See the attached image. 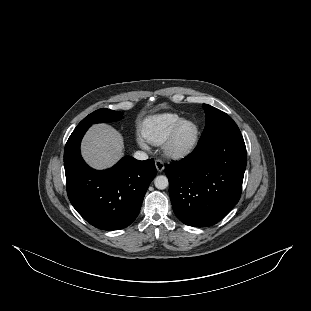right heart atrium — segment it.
<instances>
[{
    "label": "right heart atrium",
    "mask_w": 311,
    "mask_h": 311,
    "mask_svg": "<svg viewBox=\"0 0 311 311\" xmlns=\"http://www.w3.org/2000/svg\"><path fill=\"white\" fill-rule=\"evenodd\" d=\"M139 143H140V145H142V146L144 145L142 142H139Z\"/></svg>",
    "instance_id": "1"
}]
</instances>
